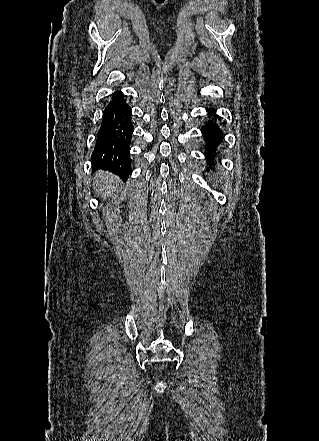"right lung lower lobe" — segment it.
<instances>
[{"instance_id": "98d812e1", "label": "right lung lower lobe", "mask_w": 319, "mask_h": 441, "mask_svg": "<svg viewBox=\"0 0 319 441\" xmlns=\"http://www.w3.org/2000/svg\"><path fill=\"white\" fill-rule=\"evenodd\" d=\"M131 112L121 93L111 96L103 112L92 154L93 165L112 171L124 180L131 172L130 143L134 131Z\"/></svg>"}]
</instances>
